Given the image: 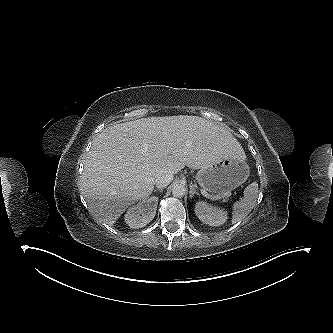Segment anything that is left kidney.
<instances>
[{"label": "left kidney", "instance_id": "left-kidney-1", "mask_svg": "<svg viewBox=\"0 0 333 333\" xmlns=\"http://www.w3.org/2000/svg\"><path fill=\"white\" fill-rule=\"evenodd\" d=\"M195 214L204 224L220 226L228 219L225 209L209 205L204 201H198L195 205Z\"/></svg>", "mask_w": 333, "mask_h": 333}]
</instances>
